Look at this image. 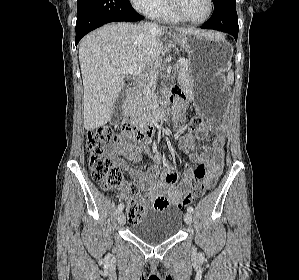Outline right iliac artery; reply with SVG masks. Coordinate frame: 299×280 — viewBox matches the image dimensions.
Wrapping results in <instances>:
<instances>
[{"label": "right iliac artery", "instance_id": "82829eb1", "mask_svg": "<svg viewBox=\"0 0 299 280\" xmlns=\"http://www.w3.org/2000/svg\"><path fill=\"white\" fill-rule=\"evenodd\" d=\"M123 208H124V204H123V203H120V204L118 205V210H119V211H122Z\"/></svg>", "mask_w": 299, "mask_h": 280}]
</instances>
